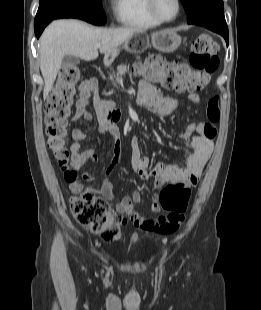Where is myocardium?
Masks as SVG:
<instances>
[{
	"instance_id": "f54148a6",
	"label": "myocardium",
	"mask_w": 261,
	"mask_h": 310,
	"mask_svg": "<svg viewBox=\"0 0 261 310\" xmlns=\"http://www.w3.org/2000/svg\"><path fill=\"white\" fill-rule=\"evenodd\" d=\"M148 1V9H149V12L151 13V15L157 20L159 21L160 23H170V22H173L175 21L180 12H181V1L180 0H175V3H176V6H177V9H176V13L173 17L171 18H164L162 17L157 9H156V0H147Z\"/></svg>"
}]
</instances>
